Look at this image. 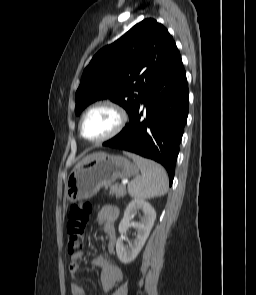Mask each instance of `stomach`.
<instances>
[{"label": "stomach", "mask_w": 256, "mask_h": 295, "mask_svg": "<svg viewBox=\"0 0 256 295\" xmlns=\"http://www.w3.org/2000/svg\"><path fill=\"white\" fill-rule=\"evenodd\" d=\"M137 172V166L127 158L101 152L74 168L66 185L67 200L89 199L103 186L134 176Z\"/></svg>", "instance_id": "stomach-1"}]
</instances>
